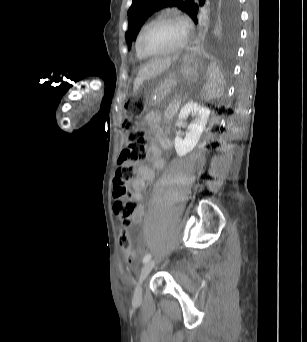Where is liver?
Returning <instances> with one entry per match:
<instances>
[{"label": "liver", "instance_id": "6515ba94", "mask_svg": "<svg viewBox=\"0 0 307 342\" xmlns=\"http://www.w3.org/2000/svg\"><path fill=\"white\" fill-rule=\"evenodd\" d=\"M175 58L176 56H174V58H161V60H155V62H151V64H146L144 68H141V70H139L134 80V92H137V90H139L144 80H147V78H155V76H159L161 72H164V70L170 68L172 60H175Z\"/></svg>", "mask_w": 307, "mask_h": 342}]
</instances>
